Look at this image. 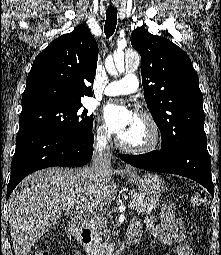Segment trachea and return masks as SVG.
Here are the masks:
<instances>
[{"label":"trachea","instance_id":"trachea-1","mask_svg":"<svg viewBox=\"0 0 221 255\" xmlns=\"http://www.w3.org/2000/svg\"><path fill=\"white\" fill-rule=\"evenodd\" d=\"M117 24V9H107L106 10V21L104 26L105 35L107 38L112 36L116 29Z\"/></svg>","mask_w":221,"mask_h":255}]
</instances>
